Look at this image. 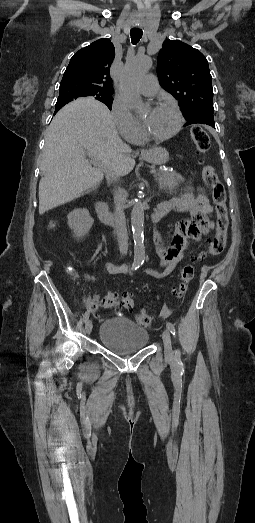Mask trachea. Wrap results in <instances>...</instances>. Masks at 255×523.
Segmentation results:
<instances>
[{
  "label": "trachea",
  "mask_w": 255,
  "mask_h": 523,
  "mask_svg": "<svg viewBox=\"0 0 255 523\" xmlns=\"http://www.w3.org/2000/svg\"><path fill=\"white\" fill-rule=\"evenodd\" d=\"M131 41L136 45L142 38V30L140 28H132L130 30Z\"/></svg>",
  "instance_id": "3493384b"
}]
</instances>
